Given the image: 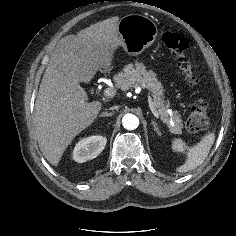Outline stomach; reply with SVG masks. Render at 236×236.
<instances>
[{"label":"stomach","instance_id":"0dacf381","mask_svg":"<svg viewBox=\"0 0 236 236\" xmlns=\"http://www.w3.org/2000/svg\"><path fill=\"white\" fill-rule=\"evenodd\" d=\"M119 45L131 56L141 54L150 47L158 35L156 24L150 18L129 14L118 23Z\"/></svg>","mask_w":236,"mask_h":236}]
</instances>
